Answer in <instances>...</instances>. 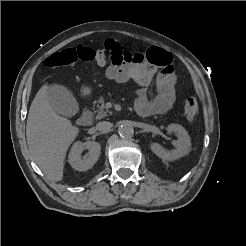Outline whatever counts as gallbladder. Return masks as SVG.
Returning <instances> with one entry per match:
<instances>
[{
	"label": "gallbladder",
	"instance_id": "1",
	"mask_svg": "<svg viewBox=\"0 0 246 246\" xmlns=\"http://www.w3.org/2000/svg\"><path fill=\"white\" fill-rule=\"evenodd\" d=\"M47 96L53 110L66 117H72L79 111L78 103L73 94L62 85L48 87Z\"/></svg>",
	"mask_w": 246,
	"mask_h": 246
}]
</instances>
